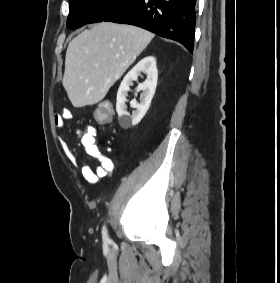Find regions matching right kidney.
Masks as SVG:
<instances>
[{
    "label": "right kidney",
    "mask_w": 280,
    "mask_h": 283,
    "mask_svg": "<svg viewBox=\"0 0 280 283\" xmlns=\"http://www.w3.org/2000/svg\"><path fill=\"white\" fill-rule=\"evenodd\" d=\"M141 72L147 74V79L143 83H140L136 89L137 92L142 91L140 103L136 102V100L130 102V106L136 109L130 115L125 104L126 97L130 90V86L133 85V81L138 79ZM157 79L158 71L156 67V59L153 56L143 58L126 74L118 89L116 101V110L121 127L129 128L137 125L141 121L149 109L151 100L155 94Z\"/></svg>",
    "instance_id": "obj_1"
}]
</instances>
